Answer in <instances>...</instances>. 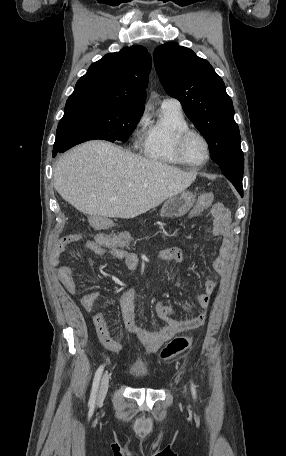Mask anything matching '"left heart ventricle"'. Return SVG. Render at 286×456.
Returning a JSON list of instances; mask_svg holds the SVG:
<instances>
[{
  "label": "left heart ventricle",
  "mask_w": 286,
  "mask_h": 456,
  "mask_svg": "<svg viewBox=\"0 0 286 456\" xmlns=\"http://www.w3.org/2000/svg\"><path fill=\"white\" fill-rule=\"evenodd\" d=\"M184 153L193 164H201L206 159V146L197 135H190L184 144Z\"/></svg>",
  "instance_id": "1"
}]
</instances>
